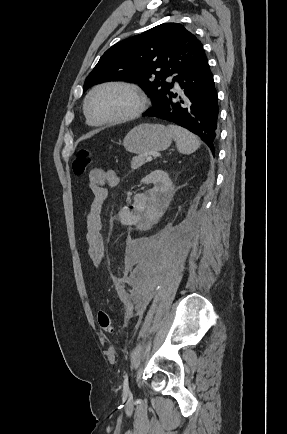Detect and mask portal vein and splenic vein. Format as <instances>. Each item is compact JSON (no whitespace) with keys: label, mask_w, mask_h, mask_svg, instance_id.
<instances>
[{"label":"portal vein and splenic vein","mask_w":287,"mask_h":434,"mask_svg":"<svg viewBox=\"0 0 287 434\" xmlns=\"http://www.w3.org/2000/svg\"><path fill=\"white\" fill-rule=\"evenodd\" d=\"M146 160H147L148 162L152 161V156H151V155L146 156Z\"/></svg>","instance_id":"18ae733b"}]
</instances>
